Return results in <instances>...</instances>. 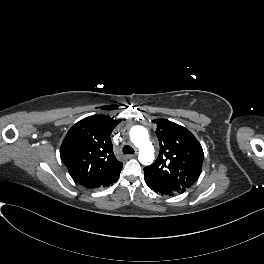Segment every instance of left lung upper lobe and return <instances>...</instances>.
<instances>
[{
	"mask_svg": "<svg viewBox=\"0 0 264 264\" xmlns=\"http://www.w3.org/2000/svg\"><path fill=\"white\" fill-rule=\"evenodd\" d=\"M156 133L159 156L144 168V178L175 193H183L201 174L202 146L188 129L168 120H157Z\"/></svg>",
	"mask_w": 264,
	"mask_h": 264,
	"instance_id": "1",
	"label": "left lung upper lobe"
}]
</instances>
